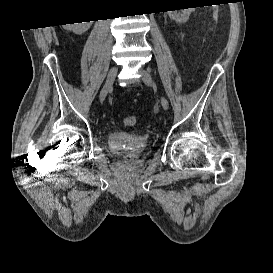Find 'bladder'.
<instances>
[{
	"label": "bladder",
	"mask_w": 273,
	"mask_h": 273,
	"mask_svg": "<svg viewBox=\"0 0 273 273\" xmlns=\"http://www.w3.org/2000/svg\"><path fill=\"white\" fill-rule=\"evenodd\" d=\"M108 149L127 160L140 157L148 146V138L128 131L111 130L107 136Z\"/></svg>",
	"instance_id": "31cf9c89"
}]
</instances>
